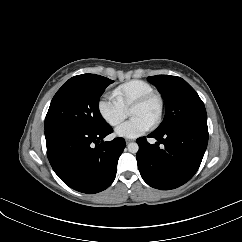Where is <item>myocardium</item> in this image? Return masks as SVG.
<instances>
[{"label": "myocardium", "mask_w": 242, "mask_h": 242, "mask_svg": "<svg viewBox=\"0 0 242 242\" xmlns=\"http://www.w3.org/2000/svg\"><path fill=\"white\" fill-rule=\"evenodd\" d=\"M152 100H157L158 105H159L158 115H157L155 121L151 124V127L155 128L161 123V121L164 117V113H165V100L160 93L151 92V93H148V94L140 97L131 105L130 109H132L134 107L144 106Z\"/></svg>", "instance_id": "f54148a6"}]
</instances>
